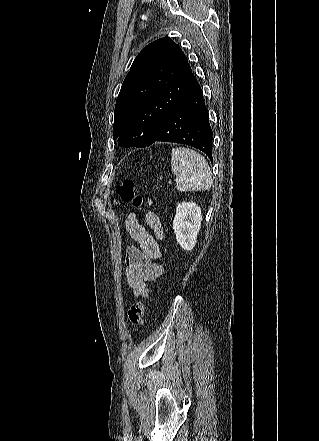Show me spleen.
Returning a JSON list of instances; mask_svg holds the SVG:
<instances>
[{"label":"spleen","mask_w":319,"mask_h":441,"mask_svg":"<svg viewBox=\"0 0 319 441\" xmlns=\"http://www.w3.org/2000/svg\"><path fill=\"white\" fill-rule=\"evenodd\" d=\"M171 170L176 176V188L181 192L205 191L213 185L207 161L190 148L176 147L171 150Z\"/></svg>","instance_id":"spleen-1"}]
</instances>
